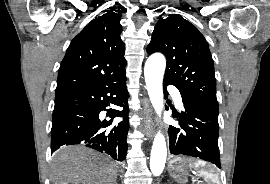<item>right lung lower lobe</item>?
Returning a JSON list of instances; mask_svg holds the SVG:
<instances>
[{
    "label": "right lung lower lobe",
    "mask_w": 270,
    "mask_h": 184,
    "mask_svg": "<svg viewBox=\"0 0 270 184\" xmlns=\"http://www.w3.org/2000/svg\"><path fill=\"white\" fill-rule=\"evenodd\" d=\"M126 79L124 75L104 84L56 93L51 153L64 145L82 144L123 161L127 154L126 137L129 128ZM110 104L123 107V110L108 109L109 116L123 117L124 120L106 129L113 119L101 122L99 113Z\"/></svg>",
    "instance_id": "98d812e1"
}]
</instances>
